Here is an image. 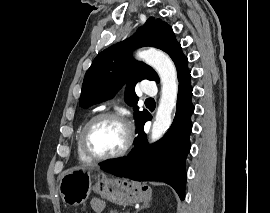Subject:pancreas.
<instances>
[{"mask_svg":"<svg viewBox=\"0 0 270 213\" xmlns=\"http://www.w3.org/2000/svg\"><path fill=\"white\" fill-rule=\"evenodd\" d=\"M110 213H119V212L111 210Z\"/></svg>","mask_w":270,"mask_h":213,"instance_id":"cf45deb5","label":"pancreas"}]
</instances>
